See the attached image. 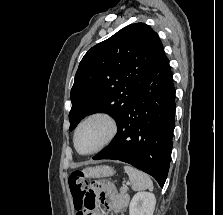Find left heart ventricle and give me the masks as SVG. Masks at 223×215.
I'll return each instance as SVG.
<instances>
[{
  "instance_id": "b2bd125f",
  "label": "left heart ventricle",
  "mask_w": 223,
  "mask_h": 215,
  "mask_svg": "<svg viewBox=\"0 0 223 215\" xmlns=\"http://www.w3.org/2000/svg\"><path fill=\"white\" fill-rule=\"evenodd\" d=\"M106 126L102 122H90L79 130L76 138L77 148L81 152H89L96 148L106 136Z\"/></svg>"
}]
</instances>
